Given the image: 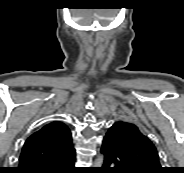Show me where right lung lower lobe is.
<instances>
[{
    "label": "right lung lower lobe",
    "instance_id": "right-lung-lower-lobe-1",
    "mask_svg": "<svg viewBox=\"0 0 184 173\" xmlns=\"http://www.w3.org/2000/svg\"><path fill=\"white\" fill-rule=\"evenodd\" d=\"M75 150L60 158L17 169V173H79L74 167Z\"/></svg>",
    "mask_w": 184,
    "mask_h": 173
}]
</instances>
